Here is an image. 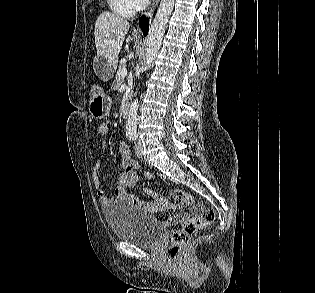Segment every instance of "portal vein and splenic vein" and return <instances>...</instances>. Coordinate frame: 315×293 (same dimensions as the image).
<instances>
[{"mask_svg":"<svg viewBox=\"0 0 315 293\" xmlns=\"http://www.w3.org/2000/svg\"><path fill=\"white\" fill-rule=\"evenodd\" d=\"M121 75L122 76H126L127 75V68H126V66L122 68Z\"/></svg>","mask_w":315,"mask_h":293,"instance_id":"18ae733b","label":"portal vein and splenic vein"}]
</instances>
